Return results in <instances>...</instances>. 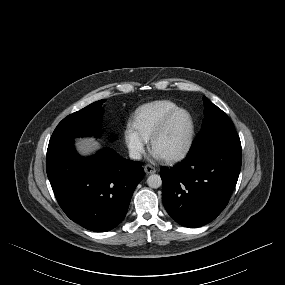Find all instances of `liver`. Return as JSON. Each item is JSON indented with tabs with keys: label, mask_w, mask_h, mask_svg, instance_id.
Instances as JSON below:
<instances>
[{
	"label": "liver",
	"mask_w": 285,
	"mask_h": 285,
	"mask_svg": "<svg viewBox=\"0 0 285 285\" xmlns=\"http://www.w3.org/2000/svg\"><path fill=\"white\" fill-rule=\"evenodd\" d=\"M77 144L81 153L89 154L98 147L99 142L94 138H79Z\"/></svg>",
	"instance_id": "6515ba94"
}]
</instances>
